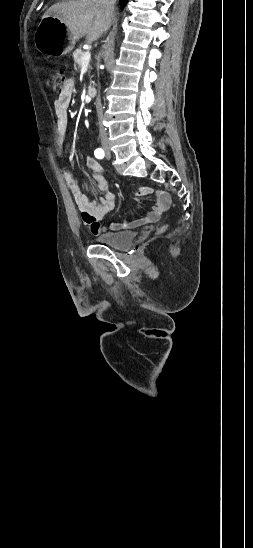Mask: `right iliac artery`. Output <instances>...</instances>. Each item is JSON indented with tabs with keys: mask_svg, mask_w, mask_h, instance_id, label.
I'll list each match as a JSON object with an SVG mask.
<instances>
[{
	"mask_svg": "<svg viewBox=\"0 0 253 548\" xmlns=\"http://www.w3.org/2000/svg\"><path fill=\"white\" fill-rule=\"evenodd\" d=\"M94 155H95L96 158L102 159L105 156V153H104V150L102 148H97L94 151Z\"/></svg>",
	"mask_w": 253,
	"mask_h": 548,
	"instance_id": "obj_1",
	"label": "right iliac artery"
}]
</instances>
